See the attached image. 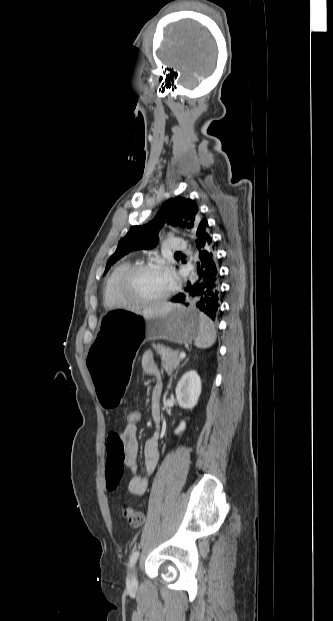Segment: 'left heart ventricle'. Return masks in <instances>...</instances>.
I'll return each mask as SVG.
<instances>
[{"instance_id":"b2bd125f","label":"left heart ventricle","mask_w":333,"mask_h":621,"mask_svg":"<svg viewBox=\"0 0 333 621\" xmlns=\"http://www.w3.org/2000/svg\"><path fill=\"white\" fill-rule=\"evenodd\" d=\"M170 284L171 282L164 272L143 271L130 280L127 290L136 298L153 300L165 295Z\"/></svg>"}]
</instances>
